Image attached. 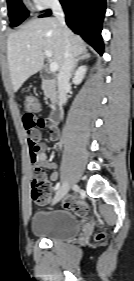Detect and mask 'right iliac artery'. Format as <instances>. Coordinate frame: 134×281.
<instances>
[{
  "instance_id": "right-iliac-artery-1",
  "label": "right iliac artery",
  "mask_w": 134,
  "mask_h": 281,
  "mask_svg": "<svg viewBox=\"0 0 134 281\" xmlns=\"http://www.w3.org/2000/svg\"><path fill=\"white\" fill-rule=\"evenodd\" d=\"M59 187H60V182H58V183L55 185L54 190H55V191L58 190Z\"/></svg>"
}]
</instances>
